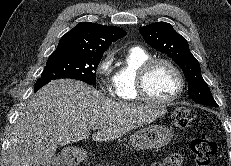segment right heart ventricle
Returning a JSON list of instances; mask_svg holds the SVG:
<instances>
[{
  "label": "right heart ventricle",
  "instance_id": "1",
  "mask_svg": "<svg viewBox=\"0 0 231 166\" xmlns=\"http://www.w3.org/2000/svg\"><path fill=\"white\" fill-rule=\"evenodd\" d=\"M151 59L141 47L128 49L115 72V95L121 101L139 100L136 89L137 73L140 66Z\"/></svg>",
  "mask_w": 231,
  "mask_h": 166
}]
</instances>
